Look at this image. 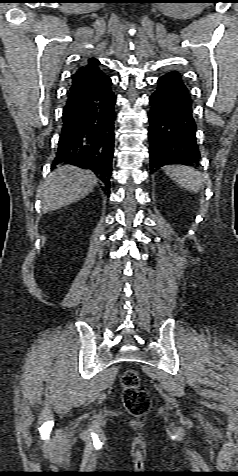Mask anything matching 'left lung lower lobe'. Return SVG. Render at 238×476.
<instances>
[{
    "mask_svg": "<svg viewBox=\"0 0 238 476\" xmlns=\"http://www.w3.org/2000/svg\"><path fill=\"white\" fill-rule=\"evenodd\" d=\"M150 104V171L168 164H198L192 101L178 72L171 71L158 79Z\"/></svg>",
    "mask_w": 238,
    "mask_h": 476,
    "instance_id": "left-lung-lower-lobe-1",
    "label": "left lung lower lobe"
}]
</instances>
